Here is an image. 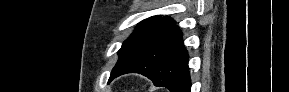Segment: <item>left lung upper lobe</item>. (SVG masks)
Returning a JSON list of instances; mask_svg holds the SVG:
<instances>
[{"label":"left lung upper lobe","instance_id":"5c2ea615","mask_svg":"<svg viewBox=\"0 0 289 92\" xmlns=\"http://www.w3.org/2000/svg\"><path fill=\"white\" fill-rule=\"evenodd\" d=\"M175 24L172 18L161 15L152 16L141 21L134 32L124 41L118 52L119 60L111 74L133 61L160 35Z\"/></svg>","mask_w":289,"mask_h":92}]
</instances>
